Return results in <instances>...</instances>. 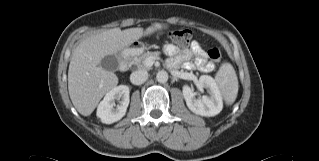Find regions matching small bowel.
<instances>
[{"mask_svg":"<svg viewBox=\"0 0 319 161\" xmlns=\"http://www.w3.org/2000/svg\"><path fill=\"white\" fill-rule=\"evenodd\" d=\"M164 52L170 57L168 65L170 67H178L182 65L187 70L198 69L202 72H209L213 69V65L207 61L206 55L202 47L197 42H192L189 48L179 49L177 46L167 44ZM195 56V60L191 58Z\"/></svg>","mask_w":319,"mask_h":161,"instance_id":"small-bowel-1","label":"small bowel"}]
</instances>
